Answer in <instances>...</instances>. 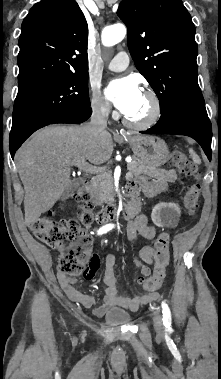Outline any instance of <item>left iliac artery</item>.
I'll return each mask as SVG.
<instances>
[{
	"label": "left iliac artery",
	"mask_w": 221,
	"mask_h": 379,
	"mask_svg": "<svg viewBox=\"0 0 221 379\" xmlns=\"http://www.w3.org/2000/svg\"><path fill=\"white\" fill-rule=\"evenodd\" d=\"M161 307H162V312H163V323L166 327H169L171 325L170 308L168 307L165 301L162 302Z\"/></svg>",
	"instance_id": "left-iliac-artery-1"
}]
</instances>
